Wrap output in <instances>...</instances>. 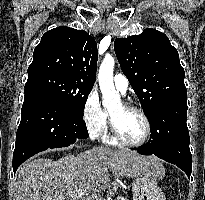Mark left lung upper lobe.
I'll return each mask as SVG.
<instances>
[{"mask_svg": "<svg viewBox=\"0 0 205 200\" xmlns=\"http://www.w3.org/2000/svg\"><path fill=\"white\" fill-rule=\"evenodd\" d=\"M114 50L150 123L165 102L187 97L179 54L165 34L145 29L140 35L116 39Z\"/></svg>", "mask_w": 205, "mask_h": 200, "instance_id": "obj_1", "label": "left lung upper lobe"}]
</instances>
